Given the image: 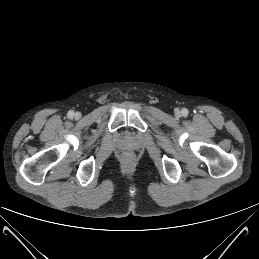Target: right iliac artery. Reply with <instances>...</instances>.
<instances>
[{"label":"right iliac artery","mask_w":259,"mask_h":259,"mask_svg":"<svg viewBox=\"0 0 259 259\" xmlns=\"http://www.w3.org/2000/svg\"><path fill=\"white\" fill-rule=\"evenodd\" d=\"M67 115H68V117H69L70 119L73 118V116H74V111H73V110H70Z\"/></svg>","instance_id":"1"}]
</instances>
